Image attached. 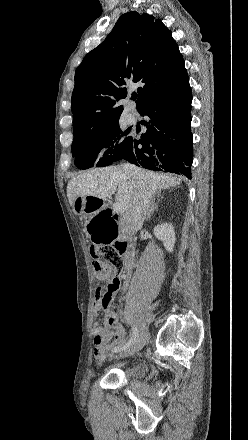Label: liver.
Wrapping results in <instances>:
<instances>
[{"mask_svg":"<svg viewBox=\"0 0 248 440\" xmlns=\"http://www.w3.org/2000/svg\"><path fill=\"white\" fill-rule=\"evenodd\" d=\"M141 170V169H140ZM143 180L152 194L163 189L180 185L181 179L172 175L141 170ZM136 181L127 175L120 166L93 168L76 177L67 185V197L71 206L79 196H93L106 199L116 191V201L121 203L124 210L131 204L136 191Z\"/></svg>","mask_w":248,"mask_h":440,"instance_id":"1","label":"liver"}]
</instances>
